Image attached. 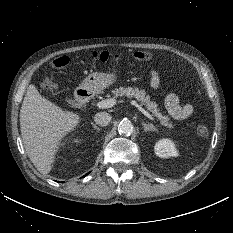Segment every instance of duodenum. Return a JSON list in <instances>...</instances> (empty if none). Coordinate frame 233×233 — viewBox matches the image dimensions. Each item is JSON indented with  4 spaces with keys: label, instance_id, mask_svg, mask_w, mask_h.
Listing matches in <instances>:
<instances>
[{
    "label": "duodenum",
    "instance_id": "obj_1",
    "mask_svg": "<svg viewBox=\"0 0 233 233\" xmlns=\"http://www.w3.org/2000/svg\"><path fill=\"white\" fill-rule=\"evenodd\" d=\"M90 98H91V96H90L88 91L81 90L76 95V102L79 105H86L90 101Z\"/></svg>",
    "mask_w": 233,
    "mask_h": 233
}]
</instances>
